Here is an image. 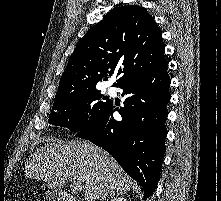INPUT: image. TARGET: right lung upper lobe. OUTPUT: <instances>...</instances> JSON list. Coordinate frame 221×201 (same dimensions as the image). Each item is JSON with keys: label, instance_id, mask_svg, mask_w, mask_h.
<instances>
[{"label": "right lung upper lobe", "instance_id": "cb5924a9", "mask_svg": "<svg viewBox=\"0 0 221 201\" xmlns=\"http://www.w3.org/2000/svg\"><path fill=\"white\" fill-rule=\"evenodd\" d=\"M164 60V44L154 19L143 7H119L106 14L77 43L55 98L95 89L115 70L119 79L113 86L117 87L155 69Z\"/></svg>", "mask_w": 221, "mask_h": 201}]
</instances>
